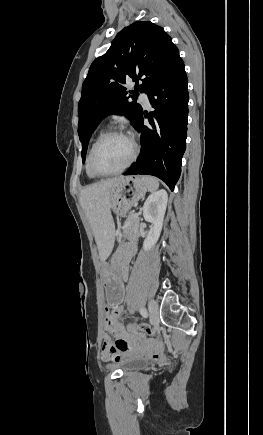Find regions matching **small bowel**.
<instances>
[{
  "label": "small bowel",
  "instance_id": "1",
  "mask_svg": "<svg viewBox=\"0 0 263 435\" xmlns=\"http://www.w3.org/2000/svg\"><path fill=\"white\" fill-rule=\"evenodd\" d=\"M137 246L135 242H128L125 246L118 249L112 258H119L120 261L125 262L126 281L129 276V268L132 258L136 254ZM124 308L123 305H114L105 318V329L111 334H106L104 337L108 338L112 347L109 350L102 348V359H118L120 355H127L128 353H135V348H139V343H134L131 340V335L140 336L138 332L139 324L137 321H133L129 329H126L124 324L119 321V316L122 314ZM153 359H157V362H163V357H158V354H153Z\"/></svg>",
  "mask_w": 263,
  "mask_h": 435
}]
</instances>
